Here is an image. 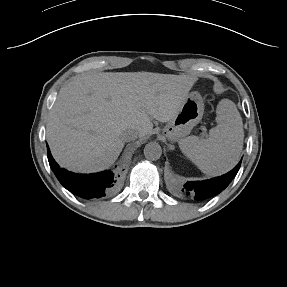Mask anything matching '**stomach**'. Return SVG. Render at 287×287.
I'll return each mask as SVG.
<instances>
[{
    "label": "stomach",
    "instance_id": "stomach-1",
    "mask_svg": "<svg viewBox=\"0 0 287 287\" xmlns=\"http://www.w3.org/2000/svg\"><path fill=\"white\" fill-rule=\"evenodd\" d=\"M204 103L198 93L192 92L181 106L178 114L163 129L170 141H179L187 136L202 119Z\"/></svg>",
    "mask_w": 287,
    "mask_h": 287
}]
</instances>
